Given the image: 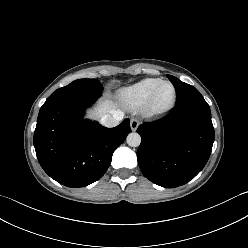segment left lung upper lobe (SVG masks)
I'll return each mask as SVG.
<instances>
[{"mask_svg":"<svg viewBox=\"0 0 248 248\" xmlns=\"http://www.w3.org/2000/svg\"><path fill=\"white\" fill-rule=\"evenodd\" d=\"M169 80L172 82L176 89L177 99L176 106L184 104L189 101L197 100L203 98L200 92L193 86L180 81L178 78L167 75Z\"/></svg>","mask_w":248,"mask_h":248,"instance_id":"1","label":"left lung upper lobe"}]
</instances>
